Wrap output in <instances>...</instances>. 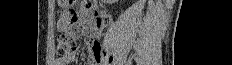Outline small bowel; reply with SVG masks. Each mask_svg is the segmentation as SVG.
Segmentation results:
<instances>
[{
  "mask_svg": "<svg viewBox=\"0 0 232 65\" xmlns=\"http://www.w3.org/2000/svg\"><path fill=\"white\" fill-rule=\"evenodd\" d=\"M78 21L85 24L84 29L77 26ZM105 17L96 6L83 9L80 12H60L58 31L60 34H78V38H87L89 45L88 65L101 64V44L97 40L99 29L104 25ZM76 57L73 51L65 57H60L55 61L56 65H66L71 63Z\"/></svg>",
  "mask_w": 232,
  "mask_h": 65,
  "instance_id": "1",
  "label": "small bowel"
}]
</instances>
